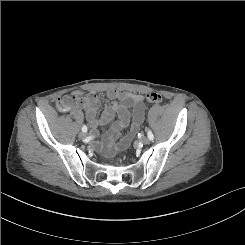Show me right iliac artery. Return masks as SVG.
<instances>
[{
    "mask_svg": "<svg viewBox=\"0 0 245 245\" xmlns=\"http://www.w3.org/2000/svg\"><path fill=\"white\" fill-rule=\"evenodd\" d=\"M87 126L86 125H84L83 127H82V131L84 132V133H86L87 132Z\"/></svg>",
    "mask_w": 245,
    "mask_h": 245,
    "instance_id": "82829eb1",
    "label": "right iliac artery"
}]
</instances>
